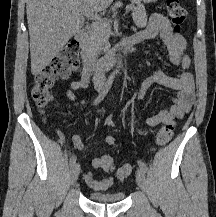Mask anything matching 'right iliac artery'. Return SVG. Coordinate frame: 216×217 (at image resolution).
<instances>
[{"label":"right iliac artery","instance_id":"82829eb1","mask_svg":"<svg viewBox=\"0 0 216 217\" xmlns=\"http://www.w3.org/2000/svg\"><path fill=\"white\" fill-rule=\"evenodd\" d=\"M114 81V75H110L109 78L107 79L103 89L101 90V92L99 93V95L95 98L93 104L94 105H97L99 104L104 98L105 96L107 95V93L109 92L111 86H112V83ZM76 162V156L73 155L71 158H70V165H74Z\"/></svg>","mask_w":216,"mask_h":217}]
</instances>
